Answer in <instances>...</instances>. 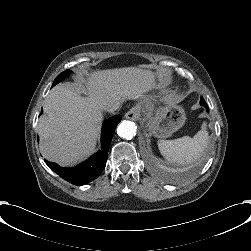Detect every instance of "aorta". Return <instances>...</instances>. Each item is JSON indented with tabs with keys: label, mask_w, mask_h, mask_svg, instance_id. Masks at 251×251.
I'll use <instances>...</instances> for the list:
<instances>
[{
	"label": "aorta",
	"mask_w": 251,
	"mask_h": 251,
	"mask_svg": "<svg viewBox=\"0 0 251 251\" xmlns=\"http://www.w3.org/2000/svg\"><path fill=\"white\" fill-rule=\"evenodd\" d=\"M117 134L125 139H131L136 134V126L132 121L124 120L117 127Z\"/></svg>",
	"instance_id": "1"
}]
</instances>
